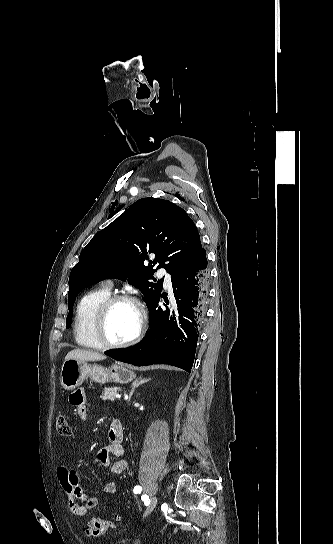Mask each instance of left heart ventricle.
Instances as JSON below:
<instances>
[{
    "mask_svg": "<svg viewBox=\"0 0 333 544\" xmlns=\"http://www.w3.org/2000/svg\"><path fill=\"white\" fill-rule=\"evenodd\" d=\"M139 321V313L133 305L129 303L116 304L111 309L106 323V333L109 340L122 342L129 339L137 331Z\"/></svg>",
    "mask_w": 333,
    "mask_h": 544,
    "instance_id": "b2bd125f",
    "label": "left heart ventricle"
}]
</instances>
